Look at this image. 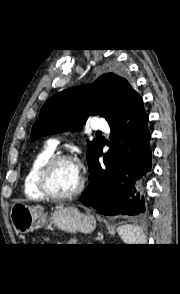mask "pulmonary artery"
Returning <instances> with one entry per match:
<instances>
[{
	"instance_id": "pulmonary-artery-1",
	"label": "pulmonary artery",
	"mask_w": 180,
	"mask_h": 294,
	"mask_svg": "<svg viewBox=\"0 0 180 294\" xmlns=\"http://www.w3.org/2000/svg\"><path fill=\"white\" fill-rule=\"evenodd\" d=\"M95 123H94V126L93 128L96 129V130H101V131H104V132H109L110 131V128H109V125L108 123L105 121V120H102L100 118H95ZM48 146L52 149H56L57 146H58V141L55 140V139H52L48 142Z\"/></svg>"
}]
</instances>
